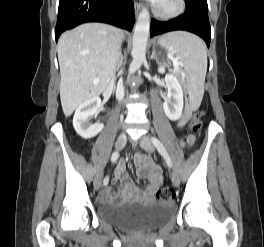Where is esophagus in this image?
Segmentation results:
<instances>
[{"label": "esophagus", "instance_id": "1", "mask_svg": "<svg viewBox=\"0 0 264 247\" xmlns=\"http://www.w3.org/2000/svg\"><path fill=\"white\" fill-rule=\"evenodd\" d=\"M140 8H141V4L135 2V4H134V9H135V13H136V14L139 12Z\"/></svg>", "mask_w": 264, "mask_h": 247}]
</instances>
